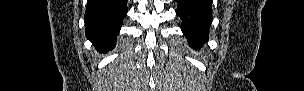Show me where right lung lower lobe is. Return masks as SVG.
Wrapping results in <instances>:
<instances>
[{"label":"right lung lower lobe","mask_w":304,"mask_h":91,"mask_svg":"<svg viewBox=\"0 0 304 91\" xmlns=\"http://www.w3.org/2000/svg\"><path fill=\"white\" fill-rule=\"evenodd\" d=\"M126 13L127 0H87L85 33L97 50L114 48Z\"/></svg>","instance_id":"98d812e1"}]
</instances>
